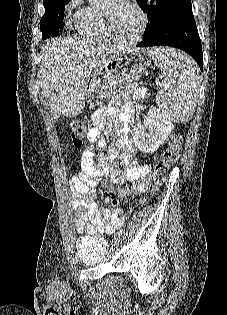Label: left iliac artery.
Wrapping results in <instances>:
<instances>
[{"mask_svg": "<svg viewBox=\"0 0 227 315\" xmlns=\"http://www.w3.org/2000/svg\"><path fill=\"white\" fill-rule=\"evenodd\" d=\"M122 234H123V229H120V230L117 232L116 236H117V237H120V236H122Z\"/></svg>", "mask_w": 227, "mask_h": 315, "instance_id": "44dca946", "label": "left iliac artery"}]
</instances>
